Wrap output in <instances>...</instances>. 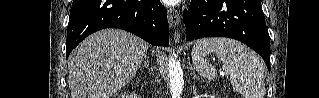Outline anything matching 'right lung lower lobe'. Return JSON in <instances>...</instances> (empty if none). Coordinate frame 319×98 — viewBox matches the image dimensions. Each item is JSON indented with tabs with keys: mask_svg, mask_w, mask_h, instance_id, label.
Returning a JSON list of instances; mask_svg holds the SVG:
<instances>
[{
	"mask_svg": "<svg viewBox=\"0 0 319 98\" xmlns=\"http://www.w3.org/2000/svg\"><path fill=\"white\" fill-rule=\"evenodd\" d=\"M104 28L129 31L155 46L169 45V25L159 0H74L66 57L84 38Z\"/></svg>",
	"mask_w": 319,
	"mask_h": 98,
	"instance_id": "1",
	"label": "right lung lower lobe"
}]
</instances>
